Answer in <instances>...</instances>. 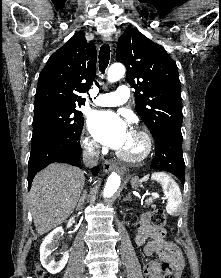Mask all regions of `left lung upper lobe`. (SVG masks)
Listing matches in <instances>:
<instances>
[{
  "instance_id": "5c2ea615",
  "label": "left lung upper lobe",
  "mask_w": 221,
  "mask_h": 278,
  "mask_svg": "<svg viewBox=\"0 0 221 278\" xmlns=\"http://www.w3.org/2000/svg\"><path fill=\"white\" fill-rule=\"evenodd\" d=\"M116 59L126 66L127 81L135 89L136 111L153 137L181 133V84L177 65L166 50L129 28L119 38Z\"/></svg>"
}]
</instances>
